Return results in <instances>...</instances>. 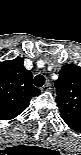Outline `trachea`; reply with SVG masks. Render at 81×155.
Masks as SVG:
<instances>
[{
  "label": "trachea",
  "instance_id": "1",
  "mask_svg": "<svg viewBox=\"0 0 81 155\" xmlns=\"http://www.w3.org/2000/svg\"><path fill=\"white\" fill-rule=\"evenodd\" d=\"M45 83V77L43 75H37L34 78V85L37 87H42Z\"/></svg>",
  "mask_w": 81,
  "mask_h": 155
}]
</instances>
